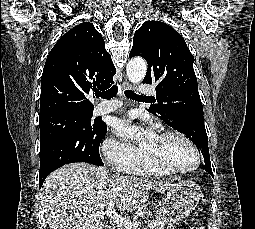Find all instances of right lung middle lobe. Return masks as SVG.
Listing matches in <instances>:
<instances>
[{"instance_id":"right-lung-middle-lobe-1","label":"right lung middle lobe","mask_w":255,"mask_h":229,"mask_svg":"<svg viewBox=\"0 0 255 229\" xmlns=\"http://www.w3.org/2000/svg\"><path fill=\"white\" fill-rule=\"evenodd\" d=\"M92 112H60L40 118V173L73 162L101 164L99 145L107 132Z\"/></svg>"}]
</instances>
